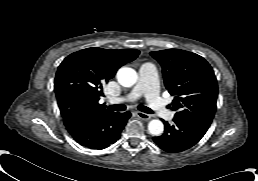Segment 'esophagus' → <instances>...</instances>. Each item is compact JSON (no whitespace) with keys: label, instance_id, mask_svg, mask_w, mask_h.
Listing matches in <instances>:
<instances>
[{"label":"esophagus","instance_id":"34e87169","mask_svg":"<svg viewBox=\"0 0 258 181\" xmlns=\"http://www.w3.org/2000/svg\"><path fill=\"white\" fill-rule=\"evenodd\" d=\"M137 117H139L142 120H149L151 118V116L149 114L137 111L136 112Z\"/></svg>","mask_w":258,"mask_h":181}]
</instances>
